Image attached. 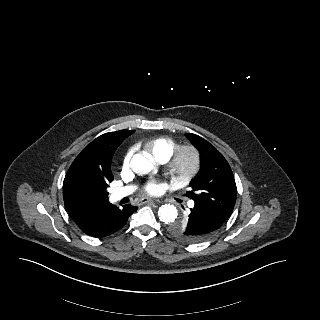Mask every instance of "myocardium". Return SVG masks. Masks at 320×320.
<instances>
[{"instance_id": "1", "label": "myocardium", "mask_w": 320, "mask_h": 320, "mask_svg": "<svg viewBox=\"0 0 320 320\" xmlns=\"http://www.w3.org/2000/svg\"><path fill=\"white\" fill-rule=\"evenodd\" d=\"M201 167V154L192 144H185L176 149L167 164V171L172 182L185 185L199 172Z\"/></svg>"}]
</instances>
